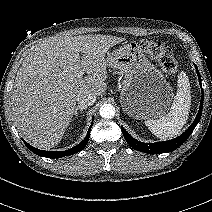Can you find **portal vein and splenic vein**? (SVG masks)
<instances>
[{"label":"portal vein and splenic vein","instance_id":"1","mask_svg":"<svg viewBox=\"0 0 212 212\" xmlns=\"http://www.w3.org/2000/svg\"><path fill=\"white\" fill-rule=\"evenodd\" d=\"M83 74H84V72H83V71H80V72L78 73V78L83 77Z\"/></svg>","mask_w":212,"mask_h":212}]
</instances>
